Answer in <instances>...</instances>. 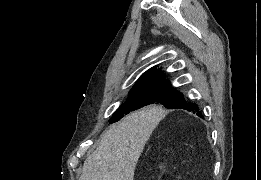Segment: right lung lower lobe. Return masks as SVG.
Here are the masks:
<instances>
[{"mask_svg": "<svg viewBox=\"0 0 261 180\" xmlns=\"http://www.w3.org/2000/svg\"><path fill=\"white\" fill-rule=\"evenodd\" d=\"M175 108H182L188 111H193L194 113H196L197 115H201V112L198 110V106L196 104L193 103H187L185 102V100L183 102H181L179 105H177Z\"/></svg>", "mask_w": 261, "mask_h": 180, "instance_id": "obj_1", "label": "right lung lower lobe"}]
</instances>
